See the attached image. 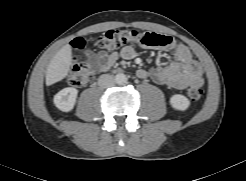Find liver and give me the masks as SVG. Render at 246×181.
<instances>
[{"label":"liver","mask_w":246,"mask_h":181,"mask_svg":"<svg viewBox=\"0 0 246 181\" xmlns=\"http://www.w3.org/2000/svg\"><path fill=\"white\" fill-rule=\"evenodd\" d=\"M72 49L67 44L52 58L46 71V85H53L63 80L69 73L72 64Z\"/></svg>","instance_id":"obj_1"}]
</instances>
